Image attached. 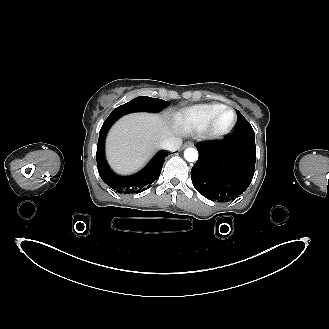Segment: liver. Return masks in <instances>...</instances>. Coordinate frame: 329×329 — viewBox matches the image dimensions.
Here are the masks:
<instances>
[{
    "mask_svg": "<svg viewBox=\"0 0 329 329\" xmlns=\"http://www.w3.org/2000/svg\"><path fill=\"white\" fill-rule=\"evenodd\" d=\"M167 118L149 113L124 116L110 129L106 138V155L111 167L120 174L139 170L174 134Z\"/></svg>",
    "mask_w": 329,
    "mask_h": 329,
    "instance_id": "6515ba94",
    "label": "liver"
}]
</instances>
